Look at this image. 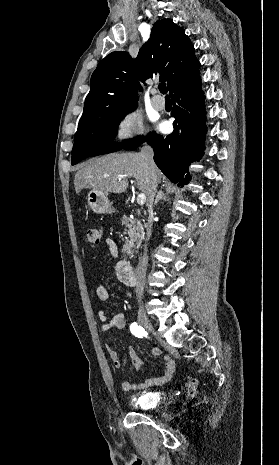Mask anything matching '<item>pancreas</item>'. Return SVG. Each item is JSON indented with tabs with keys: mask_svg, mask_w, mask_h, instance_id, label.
Instances as JSON below:
<instances>
[{
	"mask_svg": "<svg viewBox=\"0 0 279 465\" xmlns=\"http://www.w3.org/2000/svg\"><path fill=\"white\" fill-rule=\"evenodd\" d=\"M121 222L128 229L127 234L129 236V239L125 241L122 252L126 256H131L139 248L144 239L143 226L139 220L125 215L121 218Z\"/></svg>",
	"mask_w": 279,
	"mask_h": 465,
	"instance_id": "1",
	"label": "pancreas"
}]
</instances>
